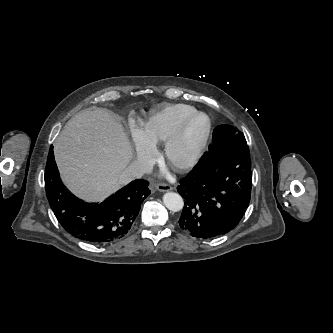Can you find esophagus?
Here are the masks:
<instances>
[{"mask_svg": "<svg viewBox=\"0 0 333 333\" xmlns=\"http://www.w3.org/2000/svg\"><path fill=\"white\" fill-rule=\"evenodd\" d=\"M156 189L160 192H167V191H171L173 188L169 184L159 183L156 186Z\"/></svg>", "mask_w": 333, "mask_h": 333, "instance_id": "1", "label": "esophagus"}]
</instances>
